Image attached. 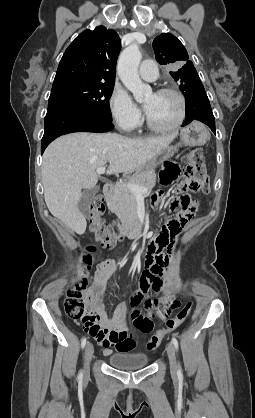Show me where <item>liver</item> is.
<instances>
[{
  "instance_id": "obj_1",
  "label": "liver",
  "mask_w": 255,
  "mask_h": 418,
  "mask_svg": "<svg viewBox=\"0 0 255 418\" xmlns=\"http://www.w3.org/2000/svg\"><path fill=\"white\" fill-rule=\"evenodd\" d=\"M177 134L140 139L80 132L59 137L45 150L41 168L49 211L77 234H83L87 222L78 202L82 190L96 186L97 169L109 163L108 175L139 170L169 147Z\"/></svg>"
}]
</instances>
